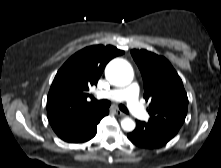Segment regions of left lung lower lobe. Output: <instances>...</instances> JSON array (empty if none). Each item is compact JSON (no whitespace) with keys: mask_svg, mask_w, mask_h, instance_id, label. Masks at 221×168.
Wrapping results in <instances>:
<instances>
[{"mask_svg":"<svg viewBox=\"0 0 221 168\" xmlns=\"http://www.w3.org/2000/svg\"><path fill=\"white\" fill-rule=\"evenodd\" d=\"M176 133L150 122L136 121V128L128 133V139L135 145L146 148H159L170 141Z\"/></svg>","mask_w":221,"mask_h":168,"instance_id":"1","label":"left lung lower lobe"}]
</instances>
